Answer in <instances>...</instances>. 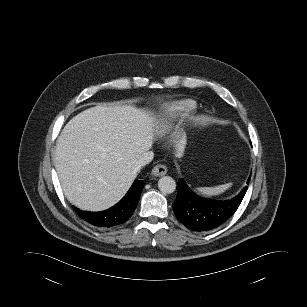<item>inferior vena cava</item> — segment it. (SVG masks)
<instances>
[{"label":"inferior vena cava","instance_id":"602c4592","mask_svg":"<svg viewBox=\"0 0 307 307\" xmlns=\"http://www.w3.org/2000/svg\"><path fill=\"white\" fill-rule=\"evenodd\" d=\"M154 153L152 151L144 152L141 157L138 159L135 168L140 170L142 166L150 163L153 160Z\"/></svg>","mask_w":307,"mask_h":307}]
</instances>
